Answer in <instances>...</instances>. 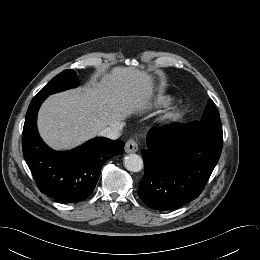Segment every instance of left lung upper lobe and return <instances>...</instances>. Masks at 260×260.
<instances>
[{"label":"left lung upper lobe","instance_id":"1","mask_svg":"<svg viewBox=\"0 0 260 260\" xmlns=\"http://www.w3.org/2000/svg\"><path fill=\"white\" fill-rule=\"evenodd\" d=\"M191 125L199 129H209L222 132L220 115L215 108L214 102L210 99L200 121H194Z\"/></svg>","mask_w":260,"mask_h":260}]
</instances>
